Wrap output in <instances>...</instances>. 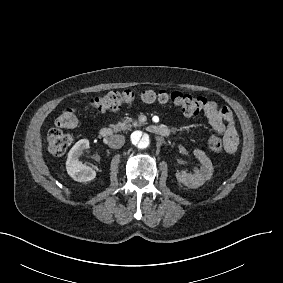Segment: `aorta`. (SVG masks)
I'll return each mask as SVG.
<instances>
[{
	"mask_svg": "<svg viewBox=\"0 0 283 283\" xmlns=\"http://www.w3.org/2000/svg\"><path fill=\"white\" fill-rule=\"evenodd\" d=\"M132 145L138 149H146L151 143L150 136L147 133L136 130L130 136Z\"/></svg>",
	"mask_w": 283,
	"mask_h": 283,
	"instance_id": "obj_1",
	"label": "aorta"
}]
</instances>
